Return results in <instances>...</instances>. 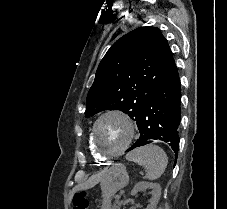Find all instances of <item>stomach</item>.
Listing matches in <instances>:
<instances>
[{
	"instance_id": "1",
	"label": "stomach",
	"mask_w": 227,
	"mask_h": 209,
	"mask_svg": "<svg viewBox=\"0 0 227 209\" xmlns=\"http://www.w3.org/2000/svg\"><path fill=\"white\" fill-rule=\"evenodd\" d=\"M129 182V176L123 164H115L110 169L104 171L101 179V190L103 193L102 209L112 207L111 198Z\"/></svg>"
}]
</instances>
